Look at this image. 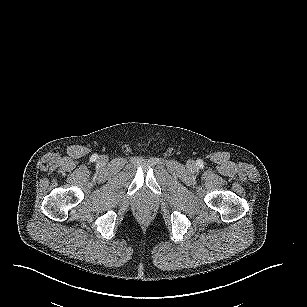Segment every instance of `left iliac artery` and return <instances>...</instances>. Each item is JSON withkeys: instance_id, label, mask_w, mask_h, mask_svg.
Listing matches in <instances>:
<instances>
[{"instance_id": "1", "label": "left iliac artery", "mask_w": 307, "mask_h": 307, "mask_svg": "<svg viewBox=\"0 0 307 307\" xmlns=\"http://www.w3.org/2000/svg\"><path fill=\"white\" fill-rule=\"evenodd\" d=\"M197 165L203 167V161L201 159L197 160Z\"/></svg>"}]
</instances>
